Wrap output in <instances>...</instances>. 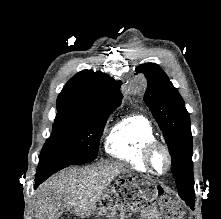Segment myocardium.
I'll list each match as a JSON object with an SVG mask.
<instances>
[{
    "label": "myocardium",
    "instance_id": "1",
    "mask_svg": "<svg viewBox=\"0 0 221 219\" xmlns=\"http://www.w3.org/2000/svg\"><path fill=\"white\" fill-rule=\"evenodd\" d=\"M156 150H161L166 157L167 165L163 172L156 171L153 165V155ZM142 158L149 171L157 176L167 174L172 167V155L170 150L164 143L160 142L159 140L151 141L145 145L142 152Z\"/></svg>",
    "mask_w": 221,
    "mask_h": 219
}]
</instances>
